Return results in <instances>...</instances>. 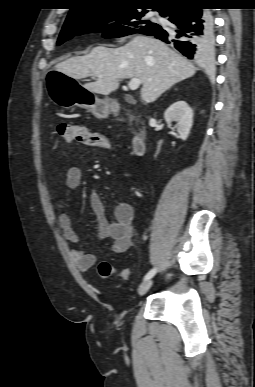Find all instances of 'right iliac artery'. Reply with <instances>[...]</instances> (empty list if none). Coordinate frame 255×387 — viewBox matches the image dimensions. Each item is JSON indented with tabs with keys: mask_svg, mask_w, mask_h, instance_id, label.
<instances>
[{
	"mask_svg": "<svg viewBox=\"0 0 255 387\" xmlns=\"http://www.w3.org/2000/svg\"><path fill=\"white\" fill-rule=\"evenodd\" d=\"M156 273V268H153L152 270H150L144 277V280H148L150 278H152L154 276V274Z\"/></svg>",
	"mask_w": 255,
	"mask_h": 387,
	"instance_id": "right-iliac-artery-1",
	"label": "right iliac artery"
}]
</instances>
